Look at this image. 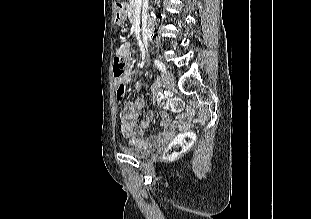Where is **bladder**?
<instances>
[{
  "label": "bladder",
  "mask_w": 311,
  "mask_h": 219,
  "mask_svg": "<svg viewBox=\"0 0 311 219\" xmlns=\"http://www.w3.org/2000/svg\"><path fill=\"white\" fill-rule=\"evenodd\" d=\"M121 151L125 155L138 158V159H144L152 153L153 148L150 146L133 144L130 146H122Z\"/></svg>",
  "instance_id": "obj_1"
}]
</instances>
